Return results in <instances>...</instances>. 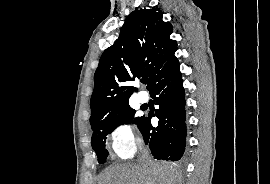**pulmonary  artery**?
Wrapping results in <instances>:
<instances>
[{"instance_id":"obj_1","label":"pulmonary artery","mask_w":270,"mask_h":184,"mask_svg":"<svg viewBox=\"0 0 270 184\" xmlns=\"http://www.w3.org/2000/svg\"><path fill=\"white\" fill-rule=\"evenodd\" d=\"M137 98L140 103H146L148 101V95L145 92H139Z\"/></svg>"}]
</instances>
